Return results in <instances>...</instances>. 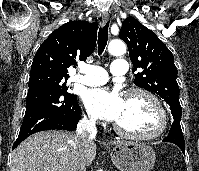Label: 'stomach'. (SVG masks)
I'll list each match as a JSON object with an SVG mask.
<instances>
[{
    "instance_id": "stomach-1",
    "label": "stomach",
    "mask_w": 199,
    "mask_h": 171,
    "mask_svg": "<svg viewBox=\"0 0 199 171\" xmlns=\"http://www.w3.org/2000/svg\"><path fill=\"white\" fill-rule=\"evenodd\" d=\"M111 160L120 171H150L155 153L145 143L121 140L111 151Z\"/></svg>"
}]
</instances>
